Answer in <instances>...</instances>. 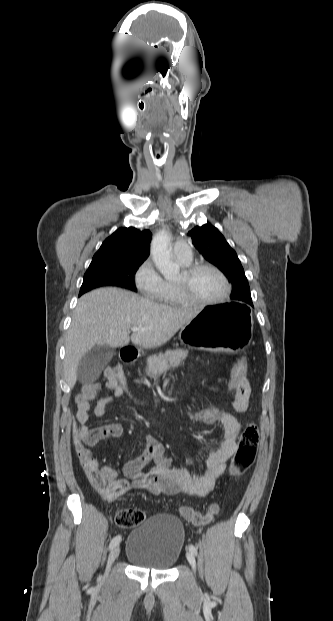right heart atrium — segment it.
<instances>
[{"mask_svg":"<svg viewBox=\"0 0 333 621\" xmlns=\"http://www.w3.org/2000/svg\"><path fill=\"white\" fill-rule=\"evenodd\" d=\"M135 284L138 290L149 298L157 299L164 280L156 271L151 260L144 261L135 273Z\"/></svg>","mask_w":333,"mask_h":621,"instance_id":"d8ad5b80","label":"right heart atrium"}]
</instances>
